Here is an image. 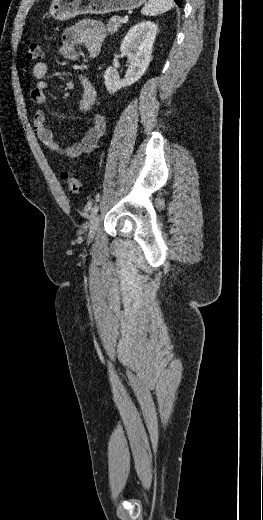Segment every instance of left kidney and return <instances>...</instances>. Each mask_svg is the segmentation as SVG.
Masks as SVG:
<instances>
[{"label": "left kidney", "mask_w": 263, "mask_h": 520, "mask_svg": "<svg viewBox=\"0 0 263 520\" xmlns=\"http://www.w3.org/2000/svg\"><path fill=\"white\" fill-rule=\"evenodd\" d=\"M158 33V27L151 21H142L133 26L122 40L120 51L128 57L130 66L123 80L117 69L109 67L104 74V83L109 93H115L122 87L137 82L151 62L153 43Z\"/></svg>", "instance_id": "1"}]
</instances>
